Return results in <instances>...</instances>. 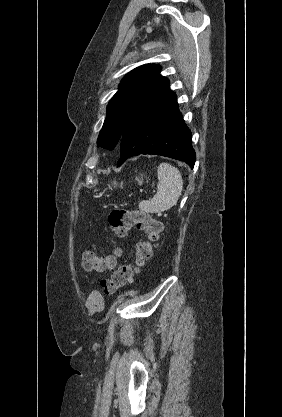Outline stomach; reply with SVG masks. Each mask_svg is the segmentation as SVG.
Returning <instances> with one entry per match:
<instances>
[{"mask_svg": "<svg viewBox=\"0 0 282 417\" xmlns=\"http://www.w3.org/2000/svg\"><path fill=\"white\" fill-rule=\"evenodd\" d=\"M135 180H137L138 184H142L144 180V174H139V176H136ZM114 186H118L117 180H113Z\"/></svg>", "mask_w": 282, "mask_h": 417, "instance_id": "obj_1", "label": "stomach"}]
</instances>
